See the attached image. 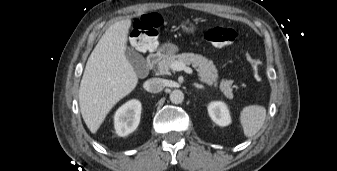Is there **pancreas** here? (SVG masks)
I'll return each instance as SVG.
<instances>
[{"label": "pancreas", "mask_w": 337, "mask_h": 171, "mask_svg": "<svg viewBox=\"0 0 337 171\" xmlns=\"http://www.w3.org/2000/svg\"><path fill=\"white\" fill-rule=\"evenodd\" d=\"M182 62L184 65H192L198 72L200 80L208 85L217 86L218 71L211 60L202 55L193 53H182L178 55H171L163 58L157 64V70L160 75H170V65L173 62ZM232 80L222 79L220 82V90L226 98L232 99Z\"/></svg>", "instance_id": "1"}]
</instances>
